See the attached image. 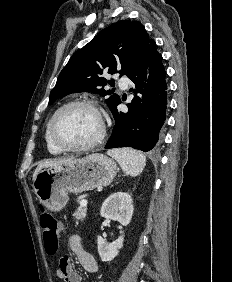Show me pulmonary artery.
Wrapping results in <instances>:
<instances>
[{
	"label": "pulmonary artery",
	"mask_w": 232,
	"mask_h": 282,
	"mask_svg": "<svg viewBox=\"0 0 232 282\" xmlns=\"http://www.w3.org/2000/svg\"><path fill=\"white\" fill-rule=\"evenodd\" d=\"M118 85L122 89H126L127 86H128V81L125 78H120V79H118Z\"/></svg>",
	"instance_id": "pulmonary-artery-1"
}]
</instances>
